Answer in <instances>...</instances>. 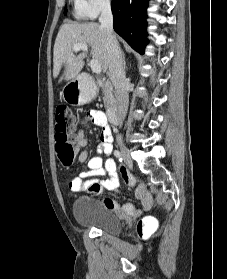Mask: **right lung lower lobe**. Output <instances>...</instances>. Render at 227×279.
I'll use <instances>...</instances> for the list:
<instances>
[{
  "label": "right lung lower lobe",
  "instance_id": "98d812e1",
  "mask_svg": "<svg viewBox=\"0 0 227 279\" xmlns=\"http://www.w3.org/2000/svg\"><path fill=\"white\" fill-rule=\"evenodd\" d=\"M147 7L148 0H112L111 3L115 32L141 54L148 42Z\"/></svg>",
  "mask_w": 227,
  "mask_h": 279
}]
</instances>
